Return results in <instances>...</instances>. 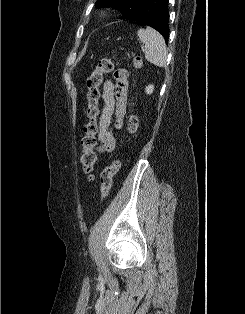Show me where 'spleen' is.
Masks as SVG:
<instances>
[{
    "label": "spleen",
    "mask_w": 245,
    "mask_h": 314,
    "mask_svg": "<svg viewBox=\"0 0 245 314\" xmlns=\"http://www.w3.org/2000/svg\"><path fill=\"white\" fill-rule=\"evenodd\" d=\"M137 35L145 45V59L158 67H165L167 63V47L162 35L150 27L139 29Z\"/></svg>",
    "instance_id": "spleen-1"
}]
</instances>
